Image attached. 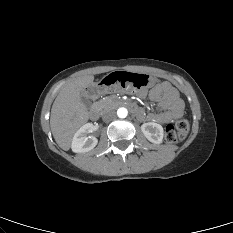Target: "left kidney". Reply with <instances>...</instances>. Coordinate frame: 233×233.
Returning a JSON list of instances; mask_svg holds the SVG:
<instances>
[{
	"instance_id": "left-kidney-1",
	"label": "left kidney",
	"mask_w": 233,
	"mask_h": 233,
	"mask_svg": "<svg viewBox=\"0 0 233 233\" xmlns=\"http://www.w3.org/2000/svg\"><path fill=\"white\" fill-rule=\"evenodd\" d=\"M144 136L154 144H161L163 141V127L157 123H144L141 126Z\"/></svg>"
}]
</instances>
